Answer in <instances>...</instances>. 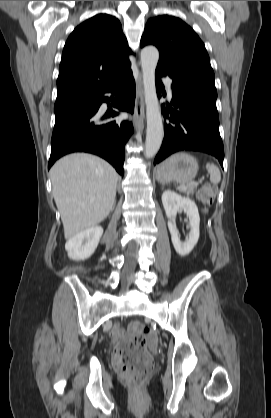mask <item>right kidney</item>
Returning a JSON list of instances; mask_svg holds the SVG:
<instances>
[{
  "label": "right kidney",
  "mask_w": 271,
  "mask_h": 418,
  "mask_svg": "<svg viewBox=\"0 0 271 418\" xmlns=\"http://www.w3.org/2000/svg\"><path fill=\"white\" fill-rule=\"evenodd\" d=\"M102 234V227L93 226L70 238L65 244L68 257L76 261L89 258L97 248Z\"/></svg>",
  "instance_id": "right-kidney-1"
}]
</instances>
